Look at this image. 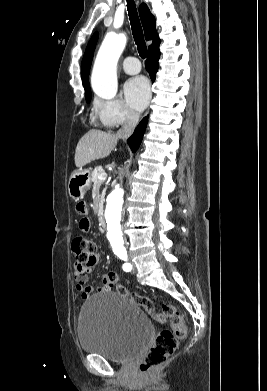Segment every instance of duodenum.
Masks as SVG:
<instances>
[{"label": "duodenum", "mask_w": 267, "mask_h": 391, "mask_svg": "<svg viewBox=\"0 0 267 391\" xmlns=\"http://www.w3.org/2000/svg\"><path fill=\"white\" fill-rule=\"evenodd\" d=\"M98 220H99V225H100V227H101L102 229H105V228H106V221H105V217H104L103 210H100V211H99Z\"/></svg>", "instance_id": "duodenum-1"}]
</instances>
